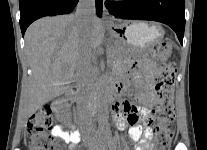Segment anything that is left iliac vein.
Wrapping results in <instances>:
<instances>
[{
  "mask_svg": "<svg viewBox=\"0 0 207 150\" xmlns=\"http://www.w3.org/2000/svg\"><path fill=\"white\" fill-rule=\"evenodd\" d=\"M92 148V149H91ZM117 150L115 144L113 142L105 143L104 141L97 140L92 143L90 150Z\"/></svg>",
  "mask_w": 207,
  "mask_h": 150,
  "instance_id": "obj_1",
  "label": "left iliac vein"
}]
</instances>
